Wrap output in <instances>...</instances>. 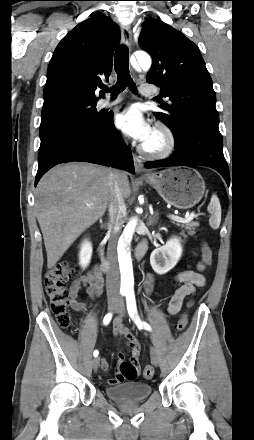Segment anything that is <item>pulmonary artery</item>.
Masks as SVG:
<instances>
[{
	"label": "pulmonary artery",
	"mask_w": 254,
	"mask_h": 440,
	"mask_svg": "<svg viewBox=\"0 0 254 440\" xmlns=\"http://www.w3.org/2000/svg\"><path fill=\"white\" fill-rule=\"evenodd\" d=\"M155 93H156V88L155 87H152V86H149V85H146V84H142L139 87V94L142 95V96H151V95H153ZM119 101H120L119 99H116V100H101L99 102V107L103 108V109L104 108H110V107L116 105L117 103H119Z\"/></svg>",
	"instance_id": "e3ab8cb5"
}]
</instances>
